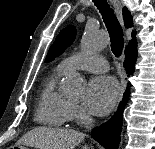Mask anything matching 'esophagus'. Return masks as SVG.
Wrapping results in <instances>:
<instances>
[{
    "label": "esophagus",
    "mask_w": 155,
    "mask_h": 149,
    "mask_svg": "<svg viewBox=\"0 0 155 149\" xmlns=\"http://www.w3.org/2000/svg\"><path fill=\"white\" fill-rule=\"evenodd\" d=\"M111 4L113 5V7L116 10V13L118 15L119 21L121 22V24L123 25V17H122V4L119 0H110ZM120 89H119V94H118V101H121L123 93L126 89V75H125V71L122 69L121 72V77H120Z\"/></svg>",
    "instance_id": "obj_1"
}]
</instances>
